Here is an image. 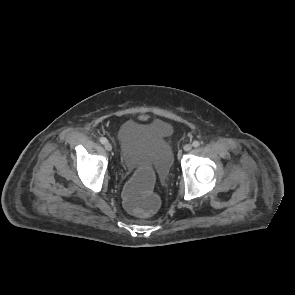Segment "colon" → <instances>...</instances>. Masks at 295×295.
<instances>
[{
    "mask_svg": "<svg viewBox=\"0 0 295 295\" xmlns=\"http://www.w3.org/2000/svg\"><path fill=\"white\" fill-rule=\"evenodd\" d=\"M132 178L122 193L127 207L134 214L150 217L158 207V197L149 190L156 182V173L151 167L144 165L134 171Z\"/></svg>",
    "mask_w": 295,
    "mask_h": 295,
    "instance_id": "obj_1",
    "label": "colon"
}]
</instances>
